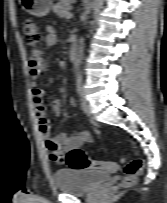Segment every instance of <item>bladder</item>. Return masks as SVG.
<instances>
[{
    "instance_id": "31cf9c89",
    "label": "bladder",
    "mask_w": 167,
    "mask_h": 203,
    "mask_svg": "<svg viewBox=\"0 0 167 203\" xmlns=\"http://www.w3.org/2000/svg\"><path fill=\"white\" fill-rule=\"evenodd\" d=\"M56 188L66 194L79 195L96 189L111 179L108 172L99 170L58 169L53 174Z\"/></svg>"
}]
</instances>
